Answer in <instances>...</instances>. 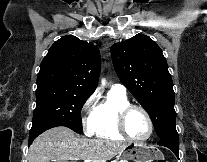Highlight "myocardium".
<instances>
[{"label": "myocardium", "instance_id": "obj_1", "mask_svg": "<svg viewBox=\"0 0 207 162\" xmlns=\"http://www.w3.org/2000/svg\"><path fill=\"white\" fill-rule=\"evenodd\" d=\"M133 110L141 111L147 119L149 130H148L147 135L143 138L132 137L126 129L127 117L130 114V112H132ZM116 127H117L118 132L124 138H126L130 141H133V142H145V141H147L152 136L153 131H154V124H153L152 118H151L150 114L148 113V111L141 105L130 104V103L127 104L126 106L122 107L118 111L117 116H116Z\"/></svg>", "mask_w": 207, "mask_h": 162}]
</instances>
